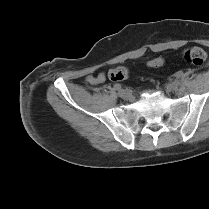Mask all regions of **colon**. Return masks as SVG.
Masks as SVG:
<instances>
[{
	"label": "colon",
	"mask_w": 209,
	"mask_h": 209,
	"mask_svg": "<svg viewBox=\"0 0 209 209\" xmlns=\"http://www.w3.org/2000/svg\"><path fill=\"white\" fill-rule=\"evenodd\" d=\"M183 59L195 66H202L207 60V53L200 47H191L183 52ZM164 59L161 57L153 58L147 62L151 68L163 66ZM108 77L112 81H123L128 77V70L125 67L113 68L108 72Z\"/></svg>",
	"instance_id": "obj_1"
}]
</instances>
